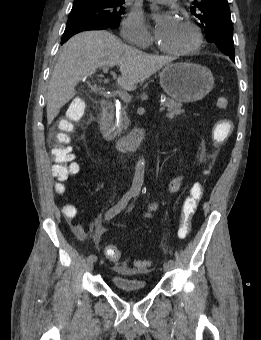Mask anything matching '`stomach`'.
I'll return each instance as SVG.
<instances>
[{"label": "stomach", "instance_id": "1", "mask_svg": "<svg viewBox=\"0 0 261 340\" xmlns=\"http://www.w3.org/2000/svg\"><path fill=\"white\" fill-rule=\"evenodd\" d=\"M160 85L173 100L192 103L207 96L214 86L211 71L195 63L166 65L160 73Z\"/></svg>", "mask_w": 261, "mask_h": 340}]
</instances>
